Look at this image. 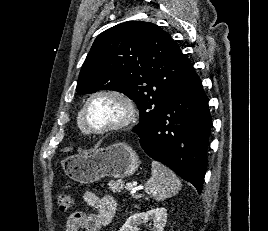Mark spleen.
Wrapping results in <instances>:
<instances>
[{
    "instance_id": "spleen-1",
    "label": "spleen",
    "mask_w": 268,
    "mask_h": 231,
    "mask_svg": "<svg viewBox=\"0 0 268 231\" xmlns=\"http://www.w3.org/2000/svg\"><path fill=\"white\" fill-rule=\"evenodd\" d=\"M152 175L145 184V192L154 197L156 201H161L177 194L181 187V182L176 174L165 165L157 161H152Z\"/></svg>"
}]
</instances>
